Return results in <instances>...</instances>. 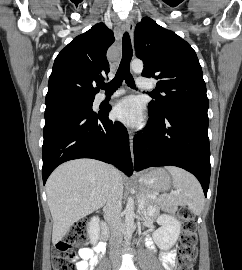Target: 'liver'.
<instances>
[{
	"label": "liver",
	"mask_w": 242,
	"mask_h": 270,
	"mask_svg": "<svg viewBox=\"0 0 242 270\" xmlns=\"http://www.w3.org/2000/svg\"><path fill=\"white\" fill-rule=\"evenodd\" d=\"M120 180L123 184L121 173ZM111 182V167L93 159L72 160L55 169L46 183L54 245L75 222L105 205Z\"/></svg>",
	"instance_id": "6515ba94"
}]
</instances>
